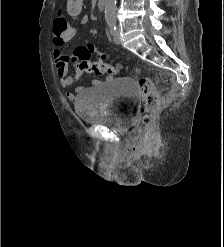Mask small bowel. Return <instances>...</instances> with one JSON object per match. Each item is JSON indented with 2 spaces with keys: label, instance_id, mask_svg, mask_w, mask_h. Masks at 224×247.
<instances>
[{
  "label": "small bowel",
  "instance_id": "small-bowel-1",
  "mask_svg": "<svg viewBox=\"0 0 224 247\" xmlns=\"http://www.w3.org/2000/svg\"><path fill=\"white\" fill-rule=\"evenodd\" d=\"M67 7L71 15L74 16L79 15L81 13L82 0H67ZM88 22H89V16L83 15L80 18L79 24L80 26H84ZM53 42L56 47L53 52V58L55 61L57 75L59 77L61 86L63 88H68L80 76L81 72L77 71V73L74 76L68 74L69 57L60 50V48L66 42L59 41L55 38L53 39ZM65 96L68 100H74L75 98V95L72 92H66Z\"/></svg>",
  "mask_w": 224,
  "mask_h": 247
}]
</instances>
